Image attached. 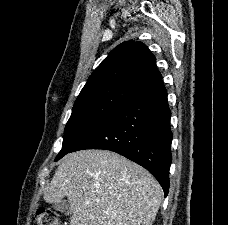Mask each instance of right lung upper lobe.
<instances>
[{
	"label": "right lung upper lobe",
	"mask_w": 228,
	"mask_h": 225,
	"mask_svg": "<svg viewBox=\"0 0 228 225\" xmlns=\"http://www.w3.org/2000/svg\"><path fill=\"white\" fill-rule=\"evenodd\" d=\"M160 75L149 49L142 42L126 41L113 49L93 71L82 91L112 82L142 89Z\"/></svg>",
	"instance_id": "cb5924a9"
}]
</instances>
